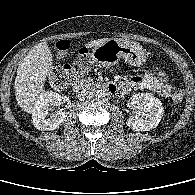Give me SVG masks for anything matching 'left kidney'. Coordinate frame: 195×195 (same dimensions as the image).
Wrapping results in <instances>:
<instances>
[{
	"mask_svg": "<svg viewBox=\"0 0 195 195\" xmlns=\"http://www.w3.org/2000/svg\"><path fill=\"white\" fill-rule=\"evenodd\" d=\"M131 106L136 115L130 116L126 123L135 131H149L158 126L163 116L161 101L151 93H138L131 97Z\"/></svg>",
	"mask_w": 195,
	"mask_h": 195,
	"instance_id": "5707ae66",
	"label": "left kidney"
}]
</instances>
